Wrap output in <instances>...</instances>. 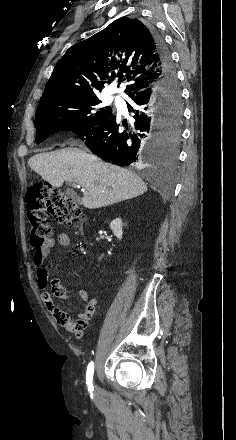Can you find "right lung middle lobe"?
Segmentation results:
<instances>
[{
    "mask_svg": "<svg viewBox=\"0 0 236 440\" xmlns=\"http://www.w3.org/2000/svg\"><path fill=\"white\" fill-rule=\"evenodd\" d=\"M171 96L175 99L179 98V88ZM100 103L101 101L94 94H72L41 101L35 116L36 142L44 141L54 132L70 130L80 134L101 124L113 113L111 107H102ZM172 113L176 118L166 123L160 138L162 148L160 154L170 160H173L177 154L182 108L178 106Z\"/></svg>",
    "mask_w": 236,
    "mask_h": 440,
    "instance_id": "right-lung-middle-lobe-1",
    "label": "right lung middle lobe"
}]
</instances>
